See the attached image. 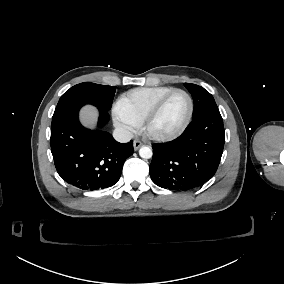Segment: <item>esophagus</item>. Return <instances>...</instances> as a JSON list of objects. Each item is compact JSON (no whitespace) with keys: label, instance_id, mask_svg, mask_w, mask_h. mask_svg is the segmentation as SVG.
Here are the masks:
<instances>
[{"label":"esophagus","instance_id":"34e87169","mask_svg":"<svg viewBox=\"0 0 284 284\" xmlns=\"http://www.w3.org/2000/svg\"><path fill=\"white\" fill-rule=\"evenodd\" d=\"M141 145H142L141 141L134 140V142H133L134 151H137Z\"/></svg>","mask_w":284,"mask_h":284}]
</instances>
